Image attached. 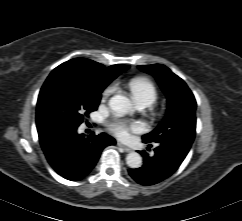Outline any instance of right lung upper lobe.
<instances>
[{
  "mask_svg": "<svg viewBox=\"0 0 242 221\" xmlns=\"http://www.w3.org/2000/svg\"><path fill=\"white\" fill-rule=\"evenodd\" d=\"M127 65H112L105 67L95 61L76 58L71 59L58 67H56L47 80L59 76L70 80L86 84L89 87L105 88L118 75L127 70ZM43 125H38L37 128H42Z\"/></svg>",
  "mask_w": 242,
  "mask_h": 221,
  "instance_id": "cb5924a9",
  "label": "right lung upper lobe"
}]
</instances>
